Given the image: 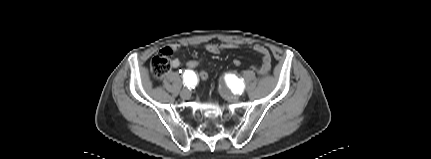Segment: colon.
<instances>
[{"label":"colon","instance_id":"1","mask_svg":"<svg viewBox=\"0 0 431 159\" xmlns=\"http://www.w3.org/2000/svg\"><path fill=\"white\" fill-rule=\"evenodd\" d=\"M170 50H166L158 55H156L151 61V73L154 78H163L170 70V61L168 59V54ZM211 58V55L203 51L198 58L188 59L185 67L190 71H196L199 68L200 78L206 81L209 78V66L205 64ZM233 65L239 68L242 62L239 59L233 60Z\"/></svg>","mask_w":431,"mask_h":159}]
</instances>
